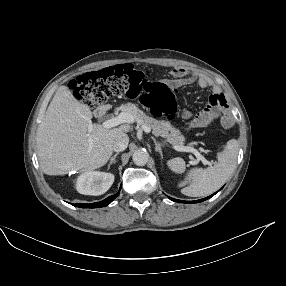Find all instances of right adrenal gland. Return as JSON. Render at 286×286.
<instances>
[{
    "label": "right adrenal gland",
    "mask_w": 286,
    "mask_h": 286,
    "mask_svg": "<svg viewBox=\"0 0 286 286\" xmlns=\"http://www.w3.org/2000/svg\"><path fill=\"white\" fill-rule=\"evenodd\" d=\"M119 155V152H117L116 154H114L112 157H111V159H110V162H109V164H108V169L110 168V166L113 164V163H115L116 162V157Z\"/></svg>",
    "instance_id": "right-adrenal-gland-1"
}]
</instances>
